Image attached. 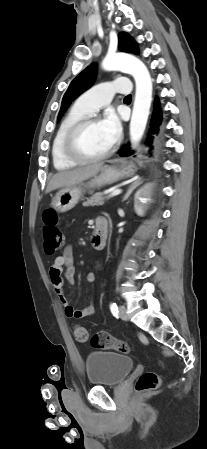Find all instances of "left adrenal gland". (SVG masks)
<instances>
[{
  "mask_svg": "<svg viewBox=\"0 0 207 449\" xmlns=\"http://www.w3.org/2000/svg\"><path fill=\"white\" fill-rule=\"evenodd\" d=\"M142 183V178H138L128 186L127 192L123 197V202L129 198L131 193Z\"/></svg>",
  "mask_w": 207,
  "mask_h": 449,
  "instance_id": "left-adrenal-gland-1",
  "label": "left adrenal gland"
}]
</instances>
